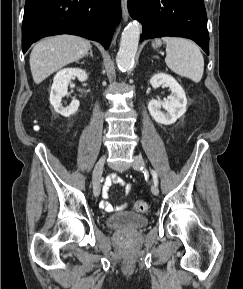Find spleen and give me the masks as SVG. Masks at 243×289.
Listing matches in <instances>:
<instances>
[{
  "label": "spleen",
  "mask_w": 243,
  "mask_h": 289,
  "mask_svg": "<svg viewBox=\"0 0 243 289\" xmlns=\"http://www.w3.org/2000/svg\"><path fill=\"white\" fill-rule=\"evenodd\" d=\"M166 65L174 73L200 82L204 71V59L199 47L192 41L179 37H164Z\"/></svg>",
  "instance_id": "obj_1"
}]
</instances>
